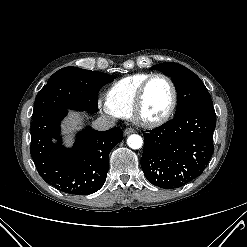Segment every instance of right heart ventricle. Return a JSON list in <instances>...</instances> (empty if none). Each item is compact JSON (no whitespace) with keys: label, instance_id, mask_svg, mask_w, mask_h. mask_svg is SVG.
<instances>
[{"label":"right heart ventricle","instance_id":"right-heart-ventricle-1","mask_svg":"<svg viewBox=\"0 0 247 247\" xmlns=\"http://www.w3.org/2000/svg\"><path fill=\"white\" fill-rule=\"evenodd\" d=\"M151 73H135L116 81L108 89L106 102L119 117H128L132 108L137 91L142 82Z\"/></svg>","mask_w":247,"mask_h":247}]
</instances>
